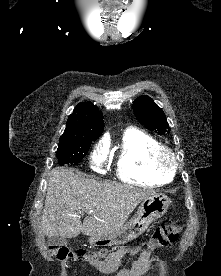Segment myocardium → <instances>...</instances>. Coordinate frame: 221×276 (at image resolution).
Instances as JSON below:
<instances>
[{
    "label": "myocardium",
    "instance_id": "obj_1",
    "mask_svg": "<svg viewBox=\"0 0 221 276\" xmlns=\"http://www.w3.org/2000/svg\"><path fill=\"white\" fill-rule=\"evenodd\" d=\"M150 163L157 172L168 175H173L179 165L176 153L161 144L150 153Z\"/></svg>",
    "mask_w": 221,
    "mask_h": 276
}]
</instances>
